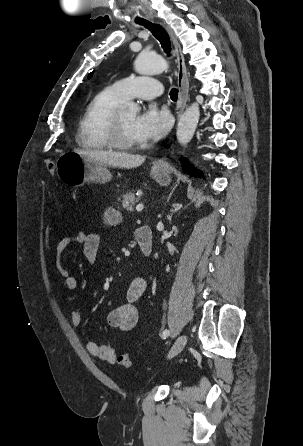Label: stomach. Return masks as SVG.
<instances>
[{
    "mask_svg": "<svg viewBox=\"0 0 303 446\" xmlns=\"http://www.w3.org/2000/svg\"><path fill=\"white\" fill-rule=\"evenodd\" d=\"M56 173L64 184L72 187H81L88 181L106 183L112 178L107 165L91 161L75 152H65L59 156ZM150 174L162 186H167L171 181L165 167H153Z\"/></svg>",
    "mask_w": 303,
    "mask_h": 446,
    "instance_id": "obj_1",
    "label": "stomach"
}]
</instances>
